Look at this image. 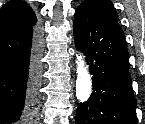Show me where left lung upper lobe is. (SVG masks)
<instances>
[{
    "mask_svg": "<svg viewBox=\"0 0 145 124\" xmlns=\"http://www.w3.org/2000/svg\"><path fill=\"white\" fill-rule=\"evenodd\" d=\"M79 8L89 9L100 18L118 24L117 15L110 0H85Z\"/></svg>",
    "mask_w": 145,
    "mask_h": 124,
    "instance_id": "left-lung-upper-lobe-1",
    "label": "left lung upper lobe"
}]
</instances>
